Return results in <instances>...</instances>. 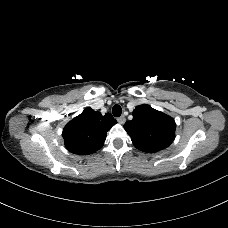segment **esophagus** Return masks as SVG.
Segmentation results:
<instances>
[{
	"label": "esophagus",
	"mask_w": 228,
	"mask_h": 228,
	"mask_svg": "<svg viewBox=\"0 0 228 228\" xmlns=\"http://www.w3.org/2000/svg\"><path fill=\"white\" fill-rule=\"evenodd\" d=\"M117 121L120 123V124H124L125 121H126V118L124 116H120L119 118H117Z\"/></svg>",
	"instance_id": "obj_1"
}]
</instances>
